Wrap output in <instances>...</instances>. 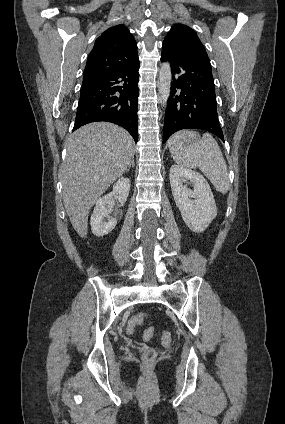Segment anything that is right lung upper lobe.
I'll return each instance as SVG.
<instances>
[{
  "instance_id": "1",
  "label": "right lung upper lobe",
  "mask_w": 285,
  "mask_h": 424,
  "mask_svg": "<svg viewBox=\"0 0 285 424\" xmlns=\"http://www.w3.org/2000/svg\"><path fill=\"white\" fill-rule=\"evenodd\" d=\"M137 62V43L128 28L113 26L96 39L87 59L83 80L104 76Z\"/></svg>"
}]
</instances>
